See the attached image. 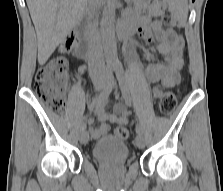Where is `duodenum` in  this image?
<instances>
[{
  "label": "duodenum",
  "instance_id": "410a0bca",
  "mask_svg": "<svg viewBox=\"0 0 223 191\" xmlns=\"http://www.w3.org/2000/svg\"><path fill=\"white\" fill-rule=\"evenodd\" d=\"M76 32L79 33L80 36L85 37V39H90V32L87 29H83L81 25L76 26ZM118 33L121 38H127L130 34V31L127 29L125 25H120L118 27ZM79 54L83 58H87L89 56V47L86 43L82 44L78 50Z\"/></svg>",
  "mask_w": 223,
  "mask_h": 191
}]
</instances>
